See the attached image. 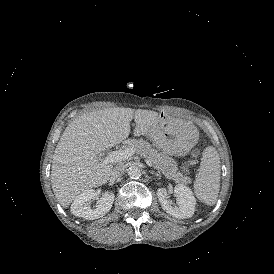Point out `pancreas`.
Instances as JSON below:
<instances>
[{
	"label": "pancreas",
	"instance_id": "1",
	"mask_svg": "<svg viewBox=\"0 0 274 274\" xmlns=\"http://www.w3.org/2000/svg\"><path fill=\"white\" fill-rule=\"evenodd\" d=\"M126 148H133L137 155L152 162L154 168L157 169L159 173H162L167 179L186 185L192 182V179L189 176H185L177 171L176 162L172 158L152 148L148 141L130 140L126 145Z\"/></svg>",
	"mask_w": 274,
	"mask_h": 274
}]
</instances>
